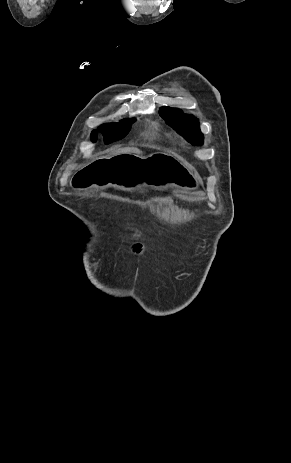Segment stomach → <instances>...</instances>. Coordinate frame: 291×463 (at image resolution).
Here are the masks:
<instances>
[{"mask_svg": "<svg viewBox=\"0 0 291 463\" xmlns=\"http://www.w3.org/2000/svg\"><path fill=\"white\" fill-rule=\"evenodd\" d=\"M70 184L73 188L114 186L126 191L143 187L193 190L198 188L200 178L177 155L155 152L142 157L123 151L114 157H94V162L77 172Z\"/></svg>", "mask_w": 291, "mask_h": 463, "instance_id": "0dacf381", "label": "stomach"}]
</instances>
